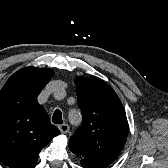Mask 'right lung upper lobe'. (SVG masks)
Listing matches in <instances>:
<instances>
[{"label":"right lung upper lobe","instance_id":"1","mask_svg":"<svg viewBox=\"0 0 168 168\" xmlns=\"http://www.w3.org/2000/svg\"><path fill=\"white\" fill-rule=\"evenodd\" d=\"M51 76V69L26 67L0 90V161L10 168H34L41 149L60 134L37 102Z\"/></svg>","mask_w":168,"mask_h":168}]
</instances>
